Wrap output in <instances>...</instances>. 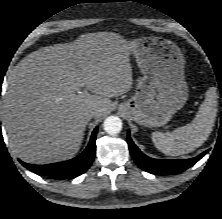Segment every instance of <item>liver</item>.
Returning a JSON list of instances; mask_svg holds the SVG:
<instances>
[{
	"mask_svg": "<svg viewBox=\"0 0 222 219\" xmlns=\"http://www.w3.org/2000/svg\"><path fill=\"white\" fill-rule=\"evenodd\" d=\"M131 44L112 32L88 33L23 58L8 78L3 106L12 151L31 164L73 158L89 121L132 88Z\"/></svg>",
	"mask_w": 222,
	"mask_h": 219,
	"instance_id": "obj_1",
	"label": "liver"
}]
</instances>
